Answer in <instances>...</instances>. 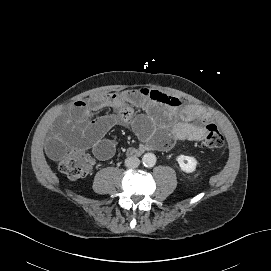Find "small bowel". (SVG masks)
<instances>
[{
  "label": "small bowel",
  "mask_w": 271,
  "mask_h": 271,
  "mask_svg": "<svg viewBox=\"0 0 271 271\" xmlns=\"http://www.w3.org/2000/svg\"><path fill=\"white\" fill-rule=\"evenodd\" d=\"M134 107L144 115H136ZM112 108L114 113L92 118L94 112ZM201 122L200 125L194 123ZM211 116L196 105H183L173 96L140 88L112 94H95L73 103L69 113L56 120L47 149L57 159L66 146L91 149L95 158L107 160L115 145L105 138L116 126L130 125L140 139L156 149H170L177 141L201 142Z\"/></svg>",
  "instance_id": "obj_1"
}]
</instances>
